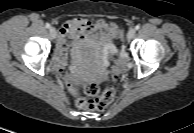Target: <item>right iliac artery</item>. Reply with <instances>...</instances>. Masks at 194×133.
I'll list each match as a JSON object with an SVG mask.
<instances>
[{"mask_svg": "<svg viewBox=\"0 0 194 133\" xmlns=\"http://www.w3.org/2000/svg\"><path fill=\"white\" fill-rule=\"evenodd\" d=\"M50 24L49 23H46V28H50Z\"/></svg>", "mask_w": 194, "mask_h": 133, "instance_id": "1", "label": "right iliac artery"}]
</instances>
